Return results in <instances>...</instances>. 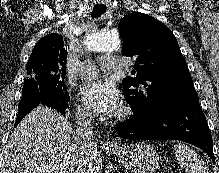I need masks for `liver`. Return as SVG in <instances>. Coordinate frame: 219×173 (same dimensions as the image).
I'll return each mask as SVG.
<instances>
[{"label": "liver", "mask_w": 219, "mask_h": 173, "mask_svg": "<svg viewBox=\"0 0 219 173\" xmlns=\"http://www.w3.org/2000/svg\"><path fill=\"white\" fill-rule=\"evenodd\" d=\"M94 154L92 173H101L98 148ZM80 158L72 125L56 110L40 104L13 131L1 173H73Z\"/></svg>", "instance_id": "liver-1"}]
</instances>
